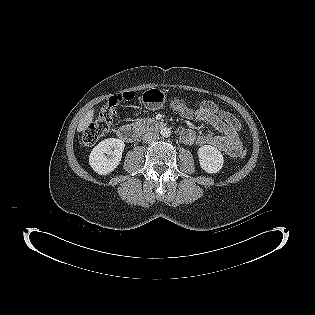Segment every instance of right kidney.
I'll return each mask as SVG.
<instances>
[{
  "mask_svg": "<svg viewBox=\"0 0 315 315\" xmlns=\"http://www.w3.org/2000/svg\"><path fill=\"white\" fill-rule=\"evenodd\" d=\"M125 144L122 140L108 138L93 148L89 156L92 169L100 174L107 175L120 164Z\"/></svg>",
  "mask_w": 315,
  "mask_h": 315,
  "instance_id": "obj_1",
  "label": "right kidney"
}]
</instances>
